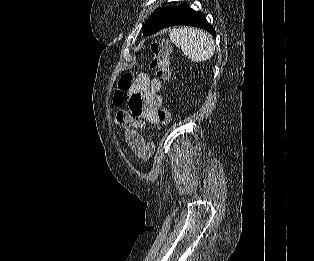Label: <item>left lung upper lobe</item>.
Here are the masks:
<instances>
[{
  "label": "left lung upper lobe",
  "instance_id": "left-lung-upper-lobe-1",
  "mask_svg": "<svg viewBox=\"0 0 314 261\" xmlns=\"http://www.w3.org/2000/svg\"><path fill=\"white\" fill-rule=\"evenodd\" d=\"M180 6L157 8L144 25L143 34L152 35L159 31L179 10Z\"/></svg>",
  "mask_w": 314,
  "mask_h": 261
}]
</instances>
